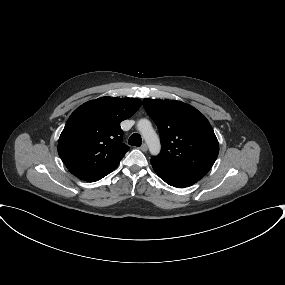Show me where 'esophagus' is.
Returning <instances> with one entry per match:
<instances>
[{
	"mask_svg": "<svg viewBox=\"0 0 285 285\" xmlns=\"http://www.w3.org/2000/svg\"><path fill=\"white\" fill-rule=\"evenodd\" d=\"M140 149L143 151V152H146L148 147H147V144L146 143H143L140 147Z\"/></svg>",
	"mask_w": 285,
	"mask_h": 285,
	"instance_id": "34e87169",
	"label": "esophagus"
}]
</instances>
